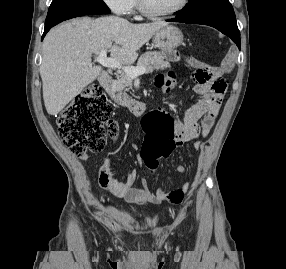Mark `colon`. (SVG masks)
Segmentation results:
<instances>
[{
	"label": "colon",
	"instance_id": "5ec220e1",
	"mask_svg": "<svg viewBox=\"0 0 286 269\" xmlns=\"http://www.w3.org/2000/svg\"><path fill=\"white\" fill-rule=\"evenodd\" d=\"M180 53V49H159L160 59H164V62H181ZM183 58L187 59L188 55L184 54ZM182 65L194 66L195 83H190V88H198L210 95L211 105L208 108L214 110L216 100H223L225 94L222 70L228 64L207 65V61L191 57L189 61H183ZM158 81L164 83V77L159 76ZM110 112L103 89L99 85H90L58 115L56 122L59 136L76 156H82L86 151H99L107 138L115 139L118 134V125L110 117ZM140 121L139 128L145 135V142H142L144 150H140V155L144 156L147 168L154 171L159 168V161L168 159L179 144L173 129L176 125L173 111L153 106L144 111ZM177 198L182 201L184 191H179Z\"/></svg>",
	"mask_w": 286,
	"mask_h": 269
}]
</instances>
